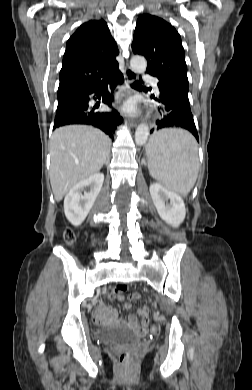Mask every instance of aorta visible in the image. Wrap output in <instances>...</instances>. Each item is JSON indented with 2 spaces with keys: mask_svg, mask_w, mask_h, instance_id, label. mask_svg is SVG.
<instances>
[{
  "mask_svg": "<svg viewBox=\"0 0 252 390\" xmlns=\"http://www.w3.org/2000/svg\"><path fill=\"white\" fill-rule=\"evenodd\" d=\"M130 67L136 73H143L147 68V61L144 57L135 55L130 60ZM149 136V127L147 124H140L135 132V142L137 145H144Z\"/></svg>",
  "mask_w": 252,
  "mask_h": 390,
  "instance_id": "aorta-1",
  "label": "aorta"
}]
</instances>
